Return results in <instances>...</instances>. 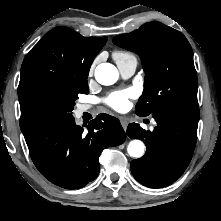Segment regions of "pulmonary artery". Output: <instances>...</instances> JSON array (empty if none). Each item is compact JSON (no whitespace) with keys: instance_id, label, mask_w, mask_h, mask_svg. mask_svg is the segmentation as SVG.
<instances>
[{"instance_id":"1","label":"pulmonary artery","mask_w":221,"mask_h":221,"mask_svg":"<svg viewBox=\"0 0 221 221\" xmlns=\"http://www.w3.org/2000/svg\"><path fill=\"white\" fill-rule=\"evenodd\" d=\"M116 64L122 77L128 78L134 74L137 67V60L135 57H132L125 60L116 61ZM89 109L90 105H82L79 108V112L82 113Z\"/></svg>"}]
</instances>
